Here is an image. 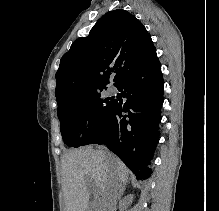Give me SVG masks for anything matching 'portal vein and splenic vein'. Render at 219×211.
Instances as JSON below:
<instances>
[{
	"instance_id": "1",
	"label": "portal vein and splenic vein",
	"mask_w": 219,
	"mask_h": 211,
	"mask_svg": "<svg viewBox=\"0 0 219 211\" xmlns=\"http://www.w3.org/2000/svg\"><path fill=\"white\" fill-rule=\"evenodd\" d=\"M98 189H94L93 193H94V199H97V197H99V193H97Z\"/></svg>"
}]
</instances>
